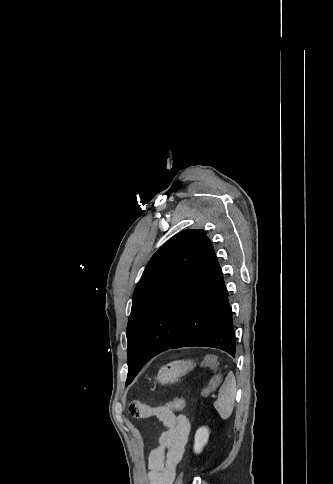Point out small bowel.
I'll use <instances>...</instances> for the list:
<instances>
[{
    "label": "small bowel",
    "instance_id": "c3829d8e",
    "mask_svg": "<svg viewBox=\"0 0 333 484\" xmlns=\"http://www.w3.org/2000/svg\"><path fill=\"white\" fill-rule=\"evenodd\" d=\"M130 411L137 417L154 416L166 427L158 447L149 454L147 478L149 484H172L190 434L189 418L163 406L150 407L138 401L131 404Z\"/></svg>",
    "mask_w": 333,
    "mask_h": 484
}]
</instances>
